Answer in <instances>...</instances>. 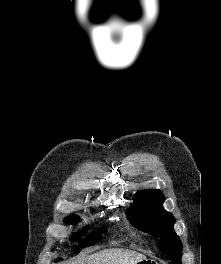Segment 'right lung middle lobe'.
Wrapping results in <instances>:
<instances>
[{
    "instance_id": "right-lung-middle-lobe-1",
    "label": "right lung middle lobe",
    "mask_w": 221,
    "mask_h": 264,
    "mask_svg": "<svg viewBox=\"0 0 221 264\" xmlns=\"http://www.w3.org/2000/svg\"><path fill=\"white\" fill-rule=\"evenodd\" d=\"M78 220H79V218L77 216L70 215L69 217H67L65 219V222L67 224H74ZM106 232H107V229L104 227L98 233L86 235L84 241L79 245L80 248L94 245L98 240H100L102 238V234H106ZM86 233H87V231H86V229H84L82 232L79 233V236L73 237L72 240L74 241V240L84 236ZM76 253H79V251L77 250ZM59 260L60 259H57L56 261H59Z\"/></svg>"
}]
</instances>
